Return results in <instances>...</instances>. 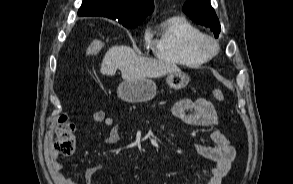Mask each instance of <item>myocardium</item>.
I'll list each match as a JSON object with an SVG mask.
<instances>
[{"label": "myocardium", "mask_w": 293, "mask_h": 184, "mask_svg": "<svg viewBox=\"0 0 293 184\" xmlns=\"http://www.w3.org/2000/svg\"><path fill=\"white\" fill-rule=\"evenodd\" d=\"M196 50L203 56L210 58L219 50V44L212 36L202 34L195 42Z\"/></svg>", "instance_id": "obj_1"}]
</instances>
